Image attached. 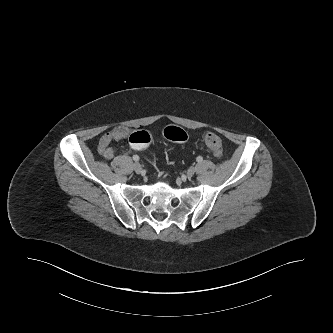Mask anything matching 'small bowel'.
Instances as JSON below:
<instances>
[{
  "instance_id": "obj_1",
  "label": "small bowel",
  "mask_w": 333,
  "mask_h": 333,
  "mask_svg": "<svg viewBox=\"0 0 333 333\" xmlns=\"http://www.w3.org/2000/svg\"><path fill=\"white\" fill-rule=\"evenodd\" d=\"M132 135V130L126 127H115L103 134L98 143L99 154L107 160H111L116 155V150L111 146L113 141L125 139Z\"/></svg>"
}]
</instances>
